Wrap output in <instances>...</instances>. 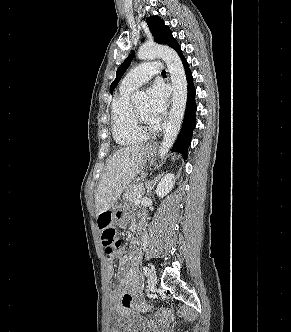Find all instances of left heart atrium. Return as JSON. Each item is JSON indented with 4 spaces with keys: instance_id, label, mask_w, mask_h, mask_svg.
Segmentation results:
<instances>
[{
    "instance_id": "1",
    "label": "left heart atrium",
    "mask_w": 291,
    "mask_h": 332,
    "mask_svg": "<svg viewBox=\"0 0 291 332\" xmlns=\"http://www.w3.org/2000/svg\"><path fill=\"white\" fill-rule=\"evenodd\" d=\"M148 97V118L151 123L158 124L167 107V92L162 85L155 84L149 88Z\"/></svg>"
}]
</instances>
